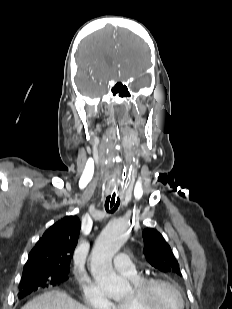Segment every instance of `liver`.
Here are the masks:
<instances>
[{"mask_svg": "<svg viewBox=\"0 0 232 309\" xmlns=\"http://www.w3.org/2000/svg\"><path fill=\"white\" fill-rule=\"evenodd\" d=\"M21 309H89L83 306L67 293L53 290L45 292L27 304Z\"/></svg>", "mask_w": 232, "mask_h": 309, "instance_id": "liver-1", "label": "liver"}]
</instances>
